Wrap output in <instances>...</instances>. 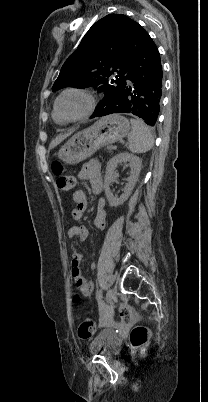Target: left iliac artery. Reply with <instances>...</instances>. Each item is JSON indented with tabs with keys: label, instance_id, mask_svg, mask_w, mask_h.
<instances>
[{
	"label": "left iliac artery",
	"instance_id": "1",
	"mask_svg": "<svg viewBox=\"0 0 208 402\" xmlns=\"http://www.w3.org/2000/svg\"><path fill=\"white\" fill-rule=\"evenodd\" d=\"M101 298H102V290H99L97 293V300L99 303L101 302Z\"/></svg>",
	"mask_w": 208,
	"mask_h": 402
}]
</instances>
